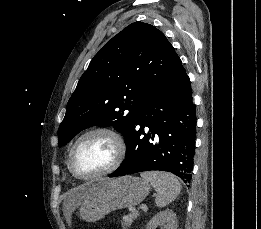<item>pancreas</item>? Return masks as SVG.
Instances as JSON below:
<instances>
[{
    "instance_id": "cf45deb5",
    "label": "pancreas",
    "mask_w": 261,
    "mask_h": 229,
    "mask_svg": "<svg viewBox=\"0 0 261 229\" xmlns=\"http://www.w3.org/2000/svg\"><path fill=\"white\" fill-rule=\"evenodd\" d=\"M128 219H123V221H121V227L122 229H129L130 225H132L133 221H135V219H137L138 217V213L133 214V213H129V215H127Z\"/></svg>"
}]
</instances>
